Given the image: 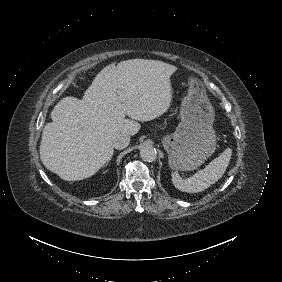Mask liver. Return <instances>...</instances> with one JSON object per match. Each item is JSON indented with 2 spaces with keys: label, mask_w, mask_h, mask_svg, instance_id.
Listing matches in <instances>:
<instances>
[{
  "label": "liver",
  "mask_w": 282,
  "mask_h": 282,
  "mask_svg": "<svg viewBox=\"0 0 282 282\" xmlns=\"http://www.w3.org/2000/svg\"><path fill=\"white\" fill-rule=\"evenodd\" d=\"M176 66L160 60L129 59L104 67L81 99L66 97L46 123L40 158L65 180L93 175L112 156L113 137L135 135L170 103L169 76ZM130 115V119L125 115Z\"/></svg>",
  "instance_id": "6515ba94"
}]
</instances>
